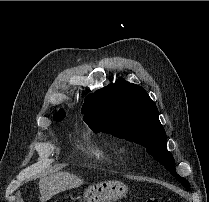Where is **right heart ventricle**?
Segmentation results:
<instances>
[{
    "label": "right heart ventricle",
    "mask_w": 209,
    "mask_h": 202,
    "mask_svg": "<svg viewBox=\"0 0 209 202\" xmlns=\"http://www.w3.org/2000/svg\"><path fill=\"white\" fill-rule=\"evenodd\" d=\"M88 150L91 156L99 159H108L109 152L108 150L103 147L101 144L88 140Z\"/></svg>",
    "instance_id": "right-heart-ventricle-1"
}]
</instances>
